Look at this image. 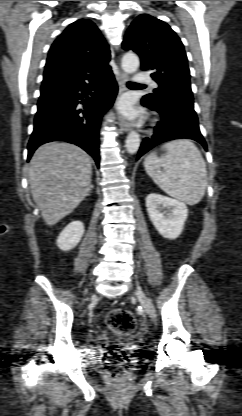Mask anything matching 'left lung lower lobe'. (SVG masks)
<instances>
[{
	"instance_id": "1",
	"label": "left lung lower lobe",
	"mask_w": 242,
	"mask_h": 416,
	"mask_svg": "<svg viewBox=\"0 0 242 416\" xmlns=\"http://www.w3.org/2000/svg\"><path fill=\"white\" fill-rule=\"evenodd\" d=\"M142 104L160 113L162 120L155 127V134L141 143L137 159L154 146L175 139L195 140L207 150L193 103L168 97L160 102L142 99Z\"/></svg>"
}]
</instances>
